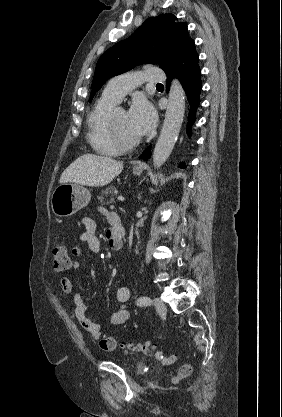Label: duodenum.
Here are the masks:
<instances>
[{
    "instance_id": "obj_1",
    "label": "duodenum",
    "mask_w": 282,
    "mask_h": 417,
    "mask_svg": "<svg viewBox=\"0 0 282 417\" xmlns=\"http://www.w3.org/2000/svg\"><path fill=\"white\" fill-rule=\"evenodd\" d=\"M124 235H125V229H124V227L123 226H119L117 229H116V234H115V240L118 242L117 244H112V248L113 249H115V250H117V249H120L121 248V243H122V238L124 237Z\"/></svg>"
}]
</instances>
